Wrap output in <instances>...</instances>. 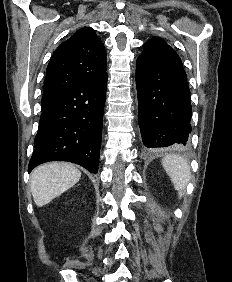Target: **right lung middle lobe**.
Here are the masks:
<instances>
[{
    "label": "right lung middle lobe",
    "instance_id": "right-lung-middle-lobe-1",
    "mask_svg": "<svg viewBox=\"0 0 232 282\" xmlns=\"http://www.w3.org/2000/svg\"><path fill=\"white\" fill-rule=\"evenodd\" d=\"M52 103H49V101H42L41 103V109L42 111L45 110L47 107H49Z\"/></svg>",
    "mask_w": 232,
    "mask_h": 282
}]
</instances>
